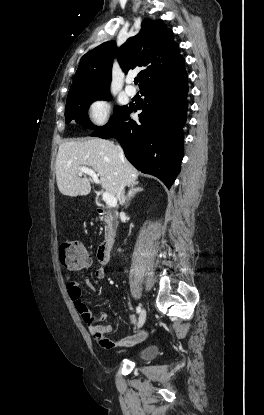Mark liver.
Masks as SVG:
<instances>
[{
	"label": "liver",
	"instance_id": "1",
	"mask_svg": "<svg viewBox=\"0 0 264 415\" xmlns=\"http://www.w3.org/2000/svg\"><path fill=\"white\" fill-rule=\"evenodd\" d=\"M94 170L103 190L117 196L123 181L130 186L139 172L119 155L113 142L93 138L84 141H67L59 146L56 158V180L61 194L76 197L91 191L90 178L78 175L80 168Z\"/></svg>",
	"mask_w": 264,
	"mask_h": 415
}]
</instances>
